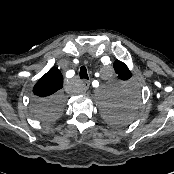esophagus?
<instances>
[{
  "mask_svg": "<svg viewBox=\"0 0 174 174\" xmlns=\"http://www.w3.org/2000/svg\"><path fill=\"white\" fill-rule=\"evenodd\" d=\"M89 86H90V81H88V80H83L82 81V89L84 91L88 90Z\"/></svg>",
  "mask_w": 174,
  "mask_h": 174,
  "instance_id": "34e87169",
  "label": "esophagus"
}]
</instances>
